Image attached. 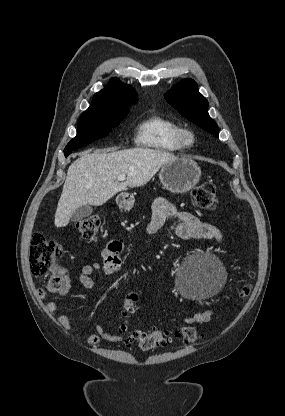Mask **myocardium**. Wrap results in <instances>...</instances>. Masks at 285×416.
Here are the masks:
<instances>
[{
	"label": "myocardium",
	"instance_id": "f54148a6",
	"mask_svg": "<svg viewBox=\"0 0 285 416\" xmlns=\"http://www.w3.org/2000/svg\"><path fill=\"white\" fill-rule=\"evenodd\" d=\"M178 143L183 149H191L196 145L197 138L190 128H181L177 137Z\"/></svg>",
	"mask_w": 285,
	"mask_h": 416
}]
</instances>
